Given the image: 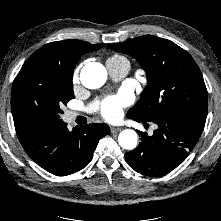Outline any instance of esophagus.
<instances>
[{
	"instance_id": "esophagus-1",
	"label": "esophagus",
	"mask_w": 221,
	"mask_h": 221,
	"mask_svg": "<svg viewBox=\"0 0 221 221\" xmlns=\"http://www.w3.org/2000/svg\"><path fill=\"white\" fill-rule=\"evenodd\" d=\"M120 130H122L121 127H111V128H110L111 133H117V132H119Z\"/></svg>"
}]
</instances>
